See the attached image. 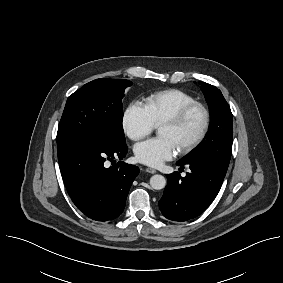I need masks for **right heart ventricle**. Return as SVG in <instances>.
Masks as SVG:
<instances>
[{
	"instance_id": "right-heart-ventricle-1",
	"label": "right heart ventricle",
	"mask_w": 283,
	"mask_h": 283,
	"mask_svg": "<svg viewBox=\"0 0 283 283\" xmlns=\"http://www.w3.org/2000/svg\"><path fill=\"white\" fill-rule=\"evenodd\" d=\"M193 101L194 97L181 89H167L147 96L145 107L154 124L159 125Z\"/></svg>"
}]
</instances>
